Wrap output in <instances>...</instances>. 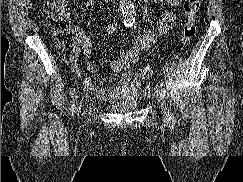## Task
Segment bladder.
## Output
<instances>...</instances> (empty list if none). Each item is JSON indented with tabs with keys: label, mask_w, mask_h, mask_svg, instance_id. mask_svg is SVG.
I'll return each instance as SVG.
<instances>
[{
	"label": "bladder",
	"mask_w": 243,
	"mask_h": 182,
	"mask_svg": "<svg viewBox=\"0 0 243 182\" xmlns=\"http://www.w3.org/2000/svg\"><path fill=\"white\" fill-rule=\"evenodd\" d=\"M139 107V100L136 97H126L117 102L106 104L105 109L110 113L126 114L136 111Z\"/></svg>",
	"instance_id": "obj_1"
}]
</instances>
